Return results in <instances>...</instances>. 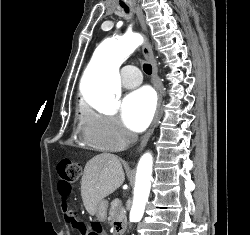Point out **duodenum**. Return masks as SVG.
Masks as SVG:
<instances>
[{
	"instance_id": "obj_1",
	"label": "duodenum",
	"mask_w": 250,
	"mask_h": 235,
	"mask_svg": "<svg viewBox=\"0 0 250 235\" xmlns=\"http://www.w3.org/2000/svg\"><path fill=\"white\" fill-rule=\"evenodd\" d=\"M115 235H123V228L121 226L116 227Z\"/></svg>"
}]
</instances>
